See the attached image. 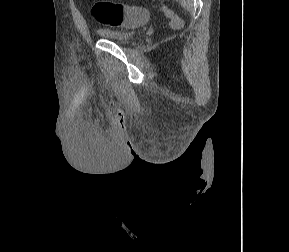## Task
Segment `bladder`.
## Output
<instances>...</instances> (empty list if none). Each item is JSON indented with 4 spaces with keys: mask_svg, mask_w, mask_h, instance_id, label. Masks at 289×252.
Wrapping results in <instances>:
<instances>
[{
    "mask_svg": "<svg viewBox=\"0 0 289 252\" xmlns=\"http://www.w3.org/2000/svg\"><path fill=\"white\" fill-rule=\"evenodd\" d=\"M97 35L106 40L114 41L121 44L132 43L138 36L136 31H116L110 29H99Z\"/></svg>",
    "mask_w": 289,
    "mask_h": 252,
    "instance_id": "1",
    "label": "bladder"
}]
</instances>
